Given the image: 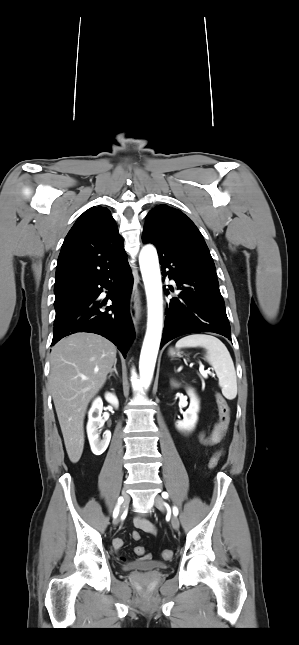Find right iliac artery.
Returning <instances> with one entry per match:
<instances>
[{"mask_svg": "<svg viewBox=\"0 0 299 645\" xmlns=\"http://www.w3.org/2000/svg\"><path fill=\"white\" fill-rule=\"evenodd\" d=\"M122 502H123V498H122V497H119V499H118V503H117V506H116V508L114 509V512H113V517H114V518H116V517L118 516V513H119V507H120V505L122 504Z\"/></svg>", "mask_w": 299, "mask_h": 645, "instance_id": "1", "label": "right iliac artery"}]
</instances>
